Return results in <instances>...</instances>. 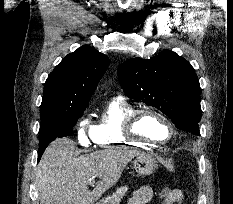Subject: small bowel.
<instances>
[{"mask_svg": "<svg viewBox=\"0 0 233 204\" xmlns=\"http://www.w3.org/2000/svg\"><path fill=\"white\" fill-rule=\"evenodd\" d=\"M176 191L180 196V200L178 203V204H180L183 201V199L185 198V195L179 189H176ZM152 195H153V193H152V190L150 187L142 186L132 193L127 204H146L151 200Z\"/></svg>", "mask_w": 233, "mask_h": 204, "instance_id": "c3829d8e", "label": "small bowel"}]
</instances>
